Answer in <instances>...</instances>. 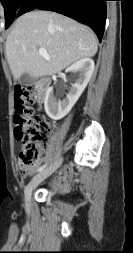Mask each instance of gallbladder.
I'll use <instances>...</instances> for the list:
<instances>
[{"instance_id": "obj_1", "label": "gallbladder", "mask_w": 133, "mask_h": 253, "mask_svg": "<svg viewBox=\"0 0 133 253\" xmlns=\"http://www.w3.org/2000/svg\"><path fill=\"white\" fill-rule=\"evenodd\" d=\"M35 81V78H33L32 76H30L27 73H24L19 79H18V83L22 86H29L32 85Z\"/></svg>"}]
</instances>
